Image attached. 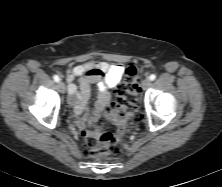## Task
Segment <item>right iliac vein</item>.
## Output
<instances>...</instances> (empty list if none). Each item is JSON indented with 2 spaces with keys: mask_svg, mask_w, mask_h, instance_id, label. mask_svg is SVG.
<instances>
[{
  "mask_svg": "<svg viewBox=\"0 0 222 187\" xmlns=\"http://www.w3.org/2000/svg\"><path fill=\"white\" fill-rule=\"evenodd\" d=\"M58 87H59V89H60V91H61L62 93H65L66 87H65L64 82L59 81V82H58Z\"/></svg>",
  "mask_w": 222,
  "mask_h": 187,
  "instance_id": "obj_1",
  "label": "right iliac vein"
}]
</instances>
